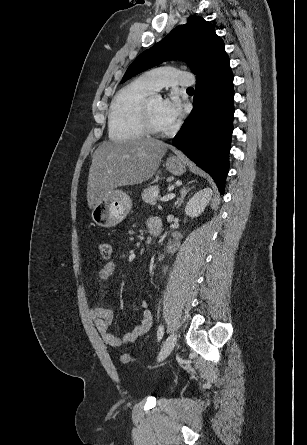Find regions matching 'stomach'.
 <instances>
[{
  "mask_svg": "<svg viewBox=\"0 0 307 445\" xmlns=\"http://www.w3.org/2000/svg\"><path fill=\"white\" fill-rule=\"evenodd\" d=\"M166 168L170 170L172 174H183L186 170L179 158H173V160H169L168 158ZM131 208L132 200L129 194H126L123 190H112L107 198H102V200L92 208V220H94V223L99 225V227L111 229V227H116V225L122 223V220L126 218Z\"/></svg>",
  "mask_w": 307,
  "mask_h": 445,
  "instance_id": "obj_1",
  "label": "stomach"
}]
</instances>
